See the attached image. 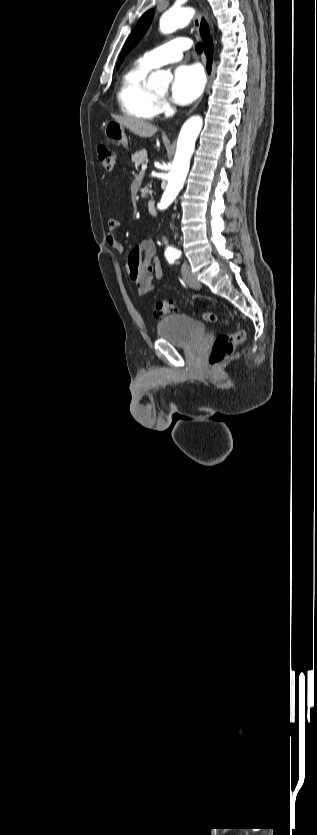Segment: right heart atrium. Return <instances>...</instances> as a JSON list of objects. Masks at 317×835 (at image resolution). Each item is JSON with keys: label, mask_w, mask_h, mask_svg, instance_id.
Here are the masks:
<instances>
[{"label": "right heart atrium", "mask_w": 317, "mask_h": 835, "mask_svg": "<svg viewBox=\"0 0 317 835\" xmlns=\"http://www.w3.org/2000/svg\"><path fill=\"white\" fill-rule=\"evenodd\" d=\"M158 111L159 113H166L169 111V105L164 99H159L158 101Z\"/></svg>", "instance_id": "d8ad5b80"}]
</instances>
